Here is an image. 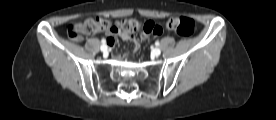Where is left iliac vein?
<instances>
[{
    "instance_id": "4c4485c4",
    "label": "left iliac vein",
    "mask_w": 276,
    "mask_h": 120,
    "mask_svg": "<svg viewBox=\"0 0 276 120\" xmlns=\"http://www.w3.org/2000/svg\"><path fill=\"white\" fill-rule=\"evenodd\" d=\"M161 54V50L159 49V48H155L154 50H153V55L154 56H159Z\"/></svg>"
}]
</instances>
